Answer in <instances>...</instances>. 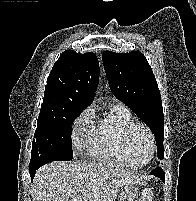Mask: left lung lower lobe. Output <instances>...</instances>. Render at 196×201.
Instances as JSON below:
<instances>
[{"instance_id": "1", "label": "left lung lower lobe", "mask_w": 196, "mask_h": 201, "mask_svg": "<svg viewBox=\"0 0 196 201\" xmlns=\"http://www.w3.org/2000/svg\"><path fill=\"white\" fill-rule=\"evenodd\" d=\"M152 175H155L156 177L160 178L163 182H165V173L162 168L158 167L152 170Z\"/></svg>"}]
</instances>
